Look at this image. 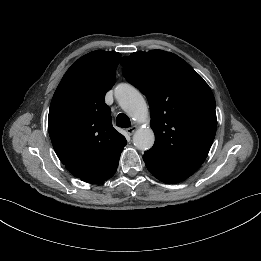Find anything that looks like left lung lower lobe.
I'll return each mask as SVG.
<instances>
[{"label":"left lung lower lobe","instance_id":"1","mask_svg":"<svg viewBox=\"0 0 261 261\" xmlns=\"http://www.w3.org/2000/svg\"><path fill=\"white\" fill-rule=\"evenodd\" d=\"M143 159L149 172L165 183L181 182L199 168L169 163L147 152L144 153Z\"/></svg>","mask_w":261,"mask_h":261}]
</instances>
